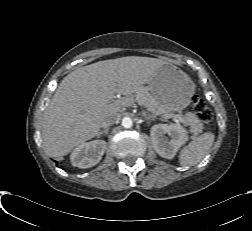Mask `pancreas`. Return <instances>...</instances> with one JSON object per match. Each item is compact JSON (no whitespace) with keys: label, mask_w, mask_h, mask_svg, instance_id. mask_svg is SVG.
I'll list each match as a JSON object with an SVG mask.
<instances>
[{"label":"pancreas","mask_w":252,"mask_h":231,"mask_svg":"<svg viewBox=\"0 0 252 231\" xmlns=\"http://www.w3.org/2000/svg\"><path fill=\"white\" fill-rule=\"evenodd\" d=\"M132 102H137L139 105L144 106L148 111L154 115H172V113L164 112L156 103L149 90L145 87H141L135 95L131 96ZM183 120L186 125L190 126V131L197 135L202 131L203 125L199 118L191 112L186 113Z\"/></svg>","instance_id":"obj_1"}]
</instances>
